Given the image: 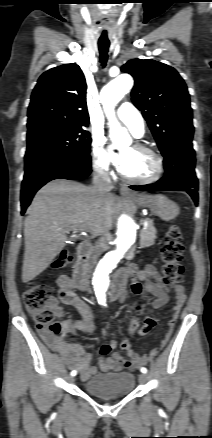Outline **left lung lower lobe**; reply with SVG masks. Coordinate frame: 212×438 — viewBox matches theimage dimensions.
<instances>
[{
    "instance_id": "left-lung-lower-lobe-1",
    "label": "left lung lower lobe",
    "mask_w": 212,
    "mask_h": 438,
    "mask_svg": "<svg viewBox=\"0 0 212 438\" xmlns=\"http://www.w3.org/2000/svg\"><path fill=\"white\" fill-rule=\"evenodd\" d=\"M166 174L154 184L130 186L143 191H187L195 204L198 202V179L195 174V151L192 143L172 147L164 156Z\"/></svg>"
}]
</instances>
